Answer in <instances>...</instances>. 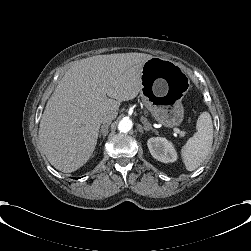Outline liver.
<instances>
[{
	"mask_svg": "<svg viewBox=\"0 0 251 251\" xmlns=\"http://www.w3.org/2000/svg\"><path fill=\"white\" fill-rule=\"evenodd\" d=\"M151 57L138 52L103 54L69 67L50 96L39 127L40 146L56 169L72 172L88 160L101 120L114 119L120 102L137 96L143 64ZM100 94L105 95L101 100Z\"/></svg>",
	"mask_w": 251,
	"mask_h": 251,
	"instance_id": "liver-1",
	"label": "liver"
}]
</instances>
